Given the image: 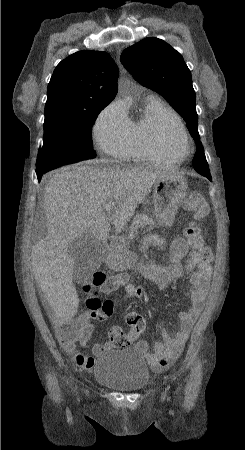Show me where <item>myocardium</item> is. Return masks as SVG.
I'll list each match as a JSON object with an SVG mask.
<instances>
[{
	"label": "myocardium",
	"mask_w": 245,
	"mask_h": 450,
	"mask_svg": "<svg viewBox=\"0 0 245 450\" xmlns=\"http://www.w3.org/2000/svg\"><path fill=\"white\" fill-rule=\"evenodd\" d=\"M163 120H170L174 123V125L177 127V129L179 130L180 134L182 135L184 141H185V145H186V152L182 155H178L176 153H174L167 145H165L159 135L158 132L155 131L154 133V144L155 146L163 151L164 153L170 155L171 157H173L176 160H180V159H185L186 157H188L191 153V141L189 138V135L187 133V131L185 130V127L181 124V122H179L178 120L174 119V118H164Z\"/></svg>",
	"instance_id": "myocardium-1"
}]
</instances>
